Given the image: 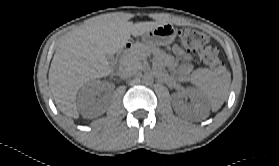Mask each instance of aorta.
<instances>
[{"label": "aorta", "instance_id": "obj_1", "mask_svg": "<svg viewBox=\"0 0 279 166\" xmlns=\"http://www.w3.org/2000/svg\"><path fill=\"white\" fill-rule=\"evenodd\" d=\"M153 81H154V77L151 73H145L142 76V82L145 84H151V83H153Z\"/></svg>", "mask_w": 279, "mask_h": 166}]
</instances>
